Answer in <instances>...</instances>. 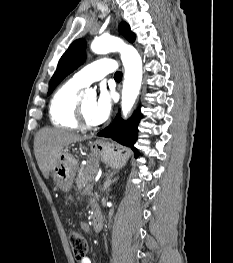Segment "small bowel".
Returning <instances> with one entry per match:
<instances>
[{
	"instance_id": "c3829d8e",
	"label": "small bowel",
	"mask_w": 233,
	"mask_h": 263,
	"mask_svg": "<svg viewBox=\"0 0 233 263\" xmlns=\"http://www.w3.org/2000/svg\"><path fill=\"white\" fill-rule=\"evenodd\" d=\"M79 263H92V261L89 257H85L82 260H80Z\"/></svg>"
}]
</instances>
